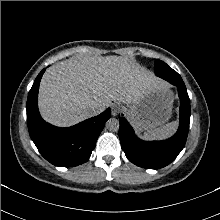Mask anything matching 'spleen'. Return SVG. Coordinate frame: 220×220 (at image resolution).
Instances as JSON below:
<instances>
[{
	"mask_svg": "<svg viewBox=\"0 0 220 220\" xmlns=\"http://www.w3.org/2000/svg\"><path fill=\"white\" fill-rule=\"evenodd\" d=\"M176 121L167 123L159 128L148 130L144 133L147 139H164L171 136L177 129Z\"/></svg>",
	"mask_w": 220,
	"mask_h": 220,
	"instance_id": "obj_1",
	"label": "spleen"
}]
</instances>
